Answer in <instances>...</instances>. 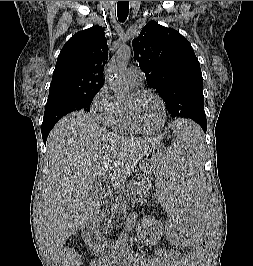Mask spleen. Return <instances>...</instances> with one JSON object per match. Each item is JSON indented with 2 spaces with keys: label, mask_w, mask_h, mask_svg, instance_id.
Masks as SVG:
<instances>
[{
  "label": "spleen",
  "mask_w": 253,
  "mask_h": 266,
  "mask_svg": "<svg viewBox=\"0 0 253 266\" xmlns=\"http://www.w3.org/2000/svg\"><path fill=\"white\" fill-rule=\"evenodd\" d=\"M170 123L168 153L157 161L159 176H154L152 194L160 199L166 220V248H202L206 242L209 221L214 216V207H207L205 201V156H207V135H201L197 123H185L184 117H177Z\"/></svg>",
  "instance_id": "1"
}]
</instances>
